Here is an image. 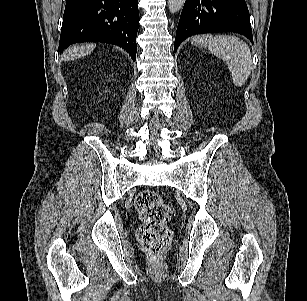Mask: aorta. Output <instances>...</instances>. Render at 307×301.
<instances>
[{
  "label": "aorta",
  "instance_id": "obj_1",
  "mask_svg": "<svg viewBox=\"0 0 307 301\" xmlns=\"http://www.w3.org/2000/svg\"><path fill=\"white\" fill-rule=\"evenodd\" d=\"M185 0H168V8L171 13L178 12L184 5Z\"/></svg>",
  "mask_w": 307,
  "mask_h": 301
}]
</instances>
